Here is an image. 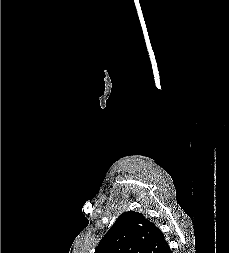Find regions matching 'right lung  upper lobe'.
Wrapping results in <instances>:
<instances>
[{
  "label": "right lung upper lobe",
  "mask_w": 229,
  "mask_h": 253,
  "mask_svg": "<svg viewBox=\"0 0 229 253\" xmlns=\"http://www.w3.org/2000/svg\"><path fill=\"white\" fill-rule=\"evenodd\" d=\"M161 230L139 212L122 213L100 241L95 253H165Z\"/></svg>",
  "instance_id": "obj_1"
}]
</instances>
